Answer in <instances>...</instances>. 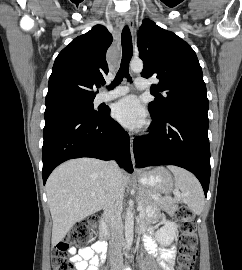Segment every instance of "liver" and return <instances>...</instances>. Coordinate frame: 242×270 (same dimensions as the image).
<instances>
[{
    "label": "liver",
    "instance_id": "obj_1",
    "mask_svg": "<svg viewBox=\"0 0 242 270\" xmlns=\"http://www.w3.org/2000/svg\"><path fill=\"white\" fill-rule=\"evenodd\" d=\"M123 185L128 176L121 171ZM110 188L108 163L94 158L69 160L58 166L46 183L52 246L64 239L75 223L105 207Z\"/></svg>",
    "mask_w": 242,
    "mask_h": 270
}]
</instances>
